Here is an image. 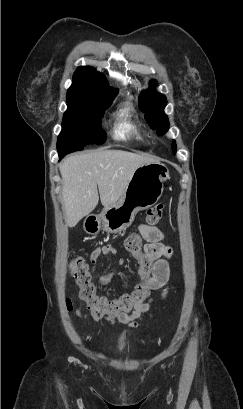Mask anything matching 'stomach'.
<instances>
[{
  "mask_svg": "<svg viewBox=\"0 0 243 409\" xmlns=\"http://www.w3.org/2000/svg\"><path fill=\"white\" fill-rule=\"evenodd\" d=\"M170 179L168 167L160 162L140 166L133 173L117 203L104 207L100 215H88L83 228L89 234L101 229L119 233L128 228L136 214L153 206L162 196L164 183Z\"/></svg>",
  "mask_w": 243,
  "mask_h": 409,
  "instance_id": "stomach-1",
  "label": "stomach"
}]
</instances>
